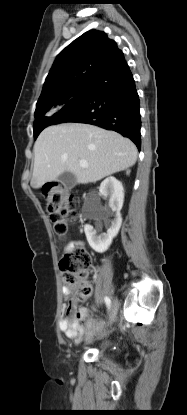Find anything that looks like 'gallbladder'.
<instances>
[{
	"label": "gallbladder",
	"mask_w": 187,
	"mask_h": 415,
	"mask_svg": "<svg viewBox=\"0 0 187 415\" xmlns=\"http://www.w3.org/2000/svg\"><path fill=\"white\" fill-rule=\"evenodd\" d=\"M58 181L61 182L67 188L75 187L78 182L75 175L71 172H64L58 177Z\"/></svg>",
	"instance_id": "1"
}]
</instances>
